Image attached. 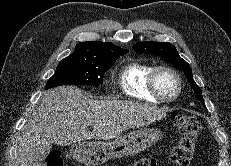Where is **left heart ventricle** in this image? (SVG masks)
Wrapping results in <instances>:
<instances>
[{"instance_id":"b2bd125f","label":"left heart ventricle","mask_w":231,"mask_h":166,"mask_svg":"<svg viewBox=\"0 0 231 166\" xmlns=\"http://www.w3.org/2000/svg\"><path fill=\"white\" fill-rule=\"evenodd\" d=\"M157 86L161 93L167 97L174 95L177 89L175 78L168 72L162 71L157 78Z\"/></svg>"}]
</instances>
